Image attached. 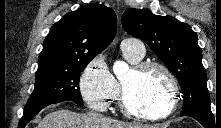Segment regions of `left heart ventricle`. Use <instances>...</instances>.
Instances as JSON below:
<instances>
[{"instance_id":"b2bd125f","label":"left heart ventricle","mask_w":221,"mask_h":128,"mask_svg":"<svg viewBox=\"0 0 221 128\" xmlns=\"http://www.w3.org/2000/svg\"><path fill=\"white\" fill-rule=\"evenodd\" d=\"M127 102L138 113L162 112L168 106L170 88L160 70L152 69L142 74L133 70L123 80Z\"/></svg>"}]
</instances>
